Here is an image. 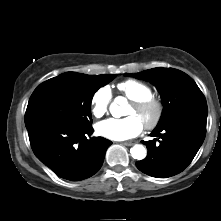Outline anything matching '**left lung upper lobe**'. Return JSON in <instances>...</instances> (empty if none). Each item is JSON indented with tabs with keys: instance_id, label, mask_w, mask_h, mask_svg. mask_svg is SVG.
Wrapping results in <instances>:
<instances>
[{
	"instance_id": "left-lung-upper-lobe-1",
	"label": "left lung upper lobe",
	"mask_w": 221,
	"mask_h": 221,
	"mask_svg": "<svg viewBox=\"0 0 221 221\" xmlns=\"http://www.w3.org/2000/svg\"><path fill=\"white\" fill-rule=\"evenodd\" d=\"M126 75L149 81L159 91L164 109L157 127L183 113L207 110L206 99L195 81L180 70L158 67Z\"/></svg>"
}]
</instances>
